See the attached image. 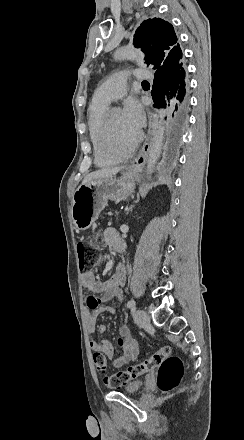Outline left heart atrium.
Masks as SVG:
<instances>
[{
	"mask_svg": "<svg viewBox=\"0 0 244 440\" xmlns=\"http://www.w3.org/2000/svg\"><path fill=\"white\" fill-rule=\"evenodd\" d=\"M123 117L128 129L137 136L145 123V114L141 103L138 100H129L123 110Z\"/></svg>",
	"mask_w": 244,
	"mask_h": 440,
	"instance_id": "obj_1",
	"label": "left heart atrium"
}]
</instances>
